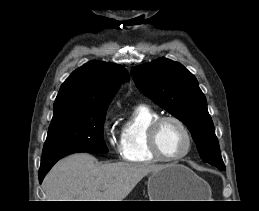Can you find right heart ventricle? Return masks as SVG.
<instances>
[{"label": "right heart ventricle", "mask_w": 259, "mask_h": 211, "mask_svg": "<svg viewBox=\"0 0 259 211\" xmlns=\"http://www.w3.org/2000/svg\"><path fill=\"white\" fill-rule=\"evenodd\" d=\"M157 111L151 107L137 105L121 126V155L124 160L133 163L154 162L157 158L148 146V129L159 118Z\"/></svg>", "instance_id": "right-heart-ventricle-1"}]
</instances>
